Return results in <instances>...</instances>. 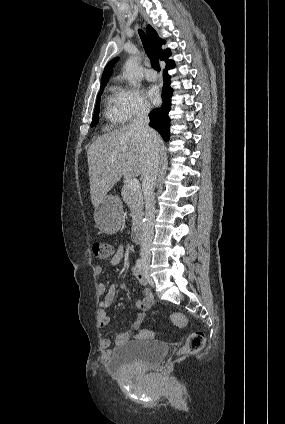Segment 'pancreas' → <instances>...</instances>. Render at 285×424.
Segmentation results:
<instances>
[{"mask_svg": "<svg viewBox=\"0 0 285 424\" xmlns=\"http://www.w3.org/2000/svg\"><path fill=\"white\" fill-rule=\"evenodd\" d=\"M123 201L131 210L132 226L136 227L143 216V195L140 189L133 191L125 184L121 190Z\"/></svg>", "mask_w": 285, "mask_h": 424, "instance_id": "cf45deb5", "label": "pancreas"}]
</instances>
